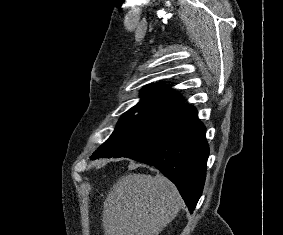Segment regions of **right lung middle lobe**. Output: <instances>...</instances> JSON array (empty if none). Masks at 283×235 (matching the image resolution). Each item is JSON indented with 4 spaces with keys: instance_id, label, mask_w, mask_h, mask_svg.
Here are the masks:
<instances>
[{
    "instance_id": "right-lung-middle-lobe-1",
    "label": "right lung middle lobe",
    "mask_w": 283,
    "mask_h": 235,
    "mask_svg": "<svg viewBox=\"0 0 283 235\" xmlns=\"http://www.w3.org/2000/svg\"><path fill=\"white\" fill-rule=\"evenodd\" d=\"M190 105L150 102L138 103L120 118L112 135L92 159L126 157L166 135L189 112ZM138 112V114H134Z\"/></svg>"
}]
</instances>
